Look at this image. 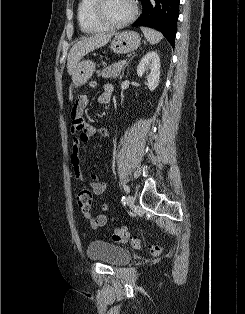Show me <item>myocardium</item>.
I'll return each instance as SVG.
<instances>
[{"label":"myocardium","instance_id":"f54148a6","mask_svg":"<svg viewBox=\"0 0 245 314\" xmlns=\"http://www.w3.org/2000/svg\"><path fill=\"white\" fill-rule=\"evenodd\" d=\"M104 0H95L92 13L95 21L102 25L105 29H118L127 26L130 24L137 16L138 14V6L136 3V0H131L132 3V12L129 17H127L125 20L112 23L107 21L103 16H102V6H103Z\"/></svg>","mask_w":245,"mask_h":314}]
</instances>
